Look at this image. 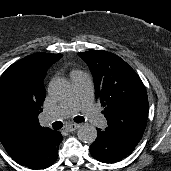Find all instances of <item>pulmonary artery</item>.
Segmentation results:
<instances>
[{
	"mask_svg": "<svg viewBox=\"0 0 171 171\" xmlns=\"http://www.w3.org/2000/svg\"><path fill=\"white\" fill-rule=\"evenodd\" d=\"M73 92L63 103L52 111L46 113L45 120L52 122L58 119L68 118L81 111L96 127H103L106 119L93 106V86L89 74L75 72L71 75Z\"/></svg>",
	"mask_w": 171,
	"mask_h": 171,
	"instance_id": "e3ab8cb5",
	"label": "pulmonary artery"
}]
</instances>
